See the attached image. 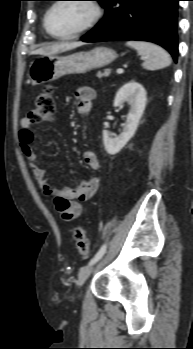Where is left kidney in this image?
<instances>
[{
    "label": "left kidney",
    "mask_w": 193,
    "mask_h": 349,
    "mask_svg": "<svg viewBox=\"0 0 193 349\" xmlns=\"http://www.w3.org/2000/svg\"><path fill=\"white\" fill-rule=\"evenodd\" d=\"M124 102H128L131 109L127 115L123 132L119 136L112 138L107 130H103L104 148L110 155L120 152L135 134L146 105V91L144 87L134 80L124 84L116 94L114 107H118Z\"/></svg>",
    "instance_id": "obj_1"
}]
</instances>
